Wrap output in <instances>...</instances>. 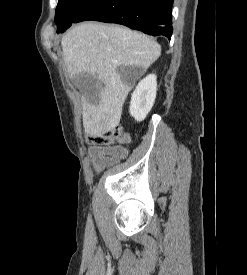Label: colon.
Listing matches in <instances>:
<instances>
[{
	"label": "colon",
	"mask_w": 247,
	"mask_h": 275,
	"mask_svg": "<svg viewBox=\"0 0 247 275\" xmlns=\"http://www.w3.org/2000/svg\"><path fill=\"white\" fill-rule=\"evenodd\" d=\"M88 143L100 146H109L112 144L127 145L129 143V137L126 132L117 127L105 134L89 137Z\"/></svg>",
	"instance_id": "5ec220e1"
}]
</instances>
